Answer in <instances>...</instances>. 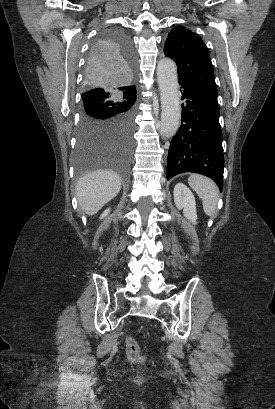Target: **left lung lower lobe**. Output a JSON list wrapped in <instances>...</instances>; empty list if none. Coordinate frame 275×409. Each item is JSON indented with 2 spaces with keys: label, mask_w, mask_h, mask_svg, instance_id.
<instances>
[{
  "label": "left lung lower lobe",
  "mask_w": 275,
  "mask_h": 409,
  "mask_svg": "<svg viewBox=\"0 0 275 409\" xmlns=\"http://www.w3.org/2000/svg\"><path fill=\"white\" fill-rule=\"evenodd\" d=\"M182 93V124L172 138L167 180L194 172L212 178L223 189L224 156L217 93L190 82H179Z\"/></svg>",
  "instance_id": "left-lung-lower-lobe-1"
}]
</instances>
